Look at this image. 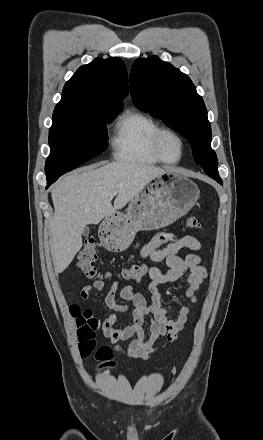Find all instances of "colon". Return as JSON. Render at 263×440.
<instances>
[{
  "mask_svg": "<svg viewBox=\"0 0 263 440\" xmlns=\"http://www.w3.org/2000/svg\"><path fill=\"white\" fill-rule=\"evenodd\" d=\"M187 227L190 229H200L201 223L196 217L187 219ZM98 258L97 246L94 238H87L79 253L78 268L82 274L89 279L97 278L101 274L96 267ZM147 273V268L143 264H133L121 272V276L129 281H140ZM71 315L75 320L78 337L79 353L82 358L90 356L96 347V334L99 329L98 320L87 310L73 305L70 309ZM99 361V368L110 367L112 351L107 346H101L96 351Z\"/></svg>",
  "mask_w": 263,
  "mask_h": 440,
  "instance_id": "colon-1",
  "label": "colon"
}]
</instances>
